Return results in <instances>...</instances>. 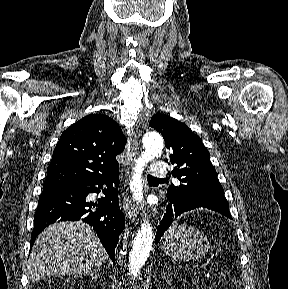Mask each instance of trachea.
Returning <instances> with one entry per match:
<instances>
[{"label":"trachea","instance_id":"1","mask_svg":"<svg viewBox=\"0 0 288 289\" xmlns=\"http://www.w3.org/2000/svg\"><path fill=\"white\" fill-rule=\"evenodd\" d=\"M147 179H148V180H160V179L154 178V177H152V176H150V175L147 176Z\"/></svg>","mask_w":288,"mask_h":289}]
</instances>
